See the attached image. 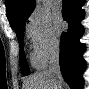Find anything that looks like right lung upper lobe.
Instances as JSON below:
<instances>
[{
    "label": "right lung upper lobe",
    "instance_id": "obj_1",
    "mask_svg": "<svg viewBox=\"0 0 89 89\" xmlns=\"http://www.w3.org/2000/svg\"><path fill=\"white\" fill-rule=\"evenodd\" d=\"M6 15L14 29L29 18L35 8V0H5Z\"/></svg>",
    "mask_w": 89,
    "mask_h": 89
}]
</instances>
